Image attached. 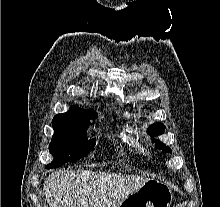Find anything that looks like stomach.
Masks as SVG:
<instances>
[{
    "mask_svg": "<svg viewBox=\"0 0 220 207\" xmlns=\"http://www.w3.org/2000/svg\"><path fill=\"white\" fill-rule=\"evenodd\" d=\"M172 200V191L166 184L149 178L118 207H170Z\"/></svg>",
    "mask_w": 220,
    "mask_h": 207,
    "instance_id": "0dacf381",
    "label": "stomach"
}]
</instances>
